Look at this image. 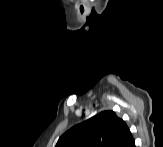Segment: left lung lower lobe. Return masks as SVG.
I'll use <instances>...</instances> for the list:
<instances>
[{
    "mask_svg": "<svg viewBox=\"0 0 163 147\" xmlns=\"http://www.w3.org/2000/svg\"><path fill=\"white\" fill-rule=\"evenodd\" d=\"M115 147H135L134 139L128 127L118 140Z\"/></svg>",
    "mask_w": 163,
    "mask_h": 147,
    "instance_id": "left-lung-lower-lobe-1",
    "label": "left lung lower lobe"
}]
</instances>
